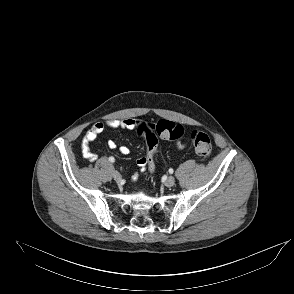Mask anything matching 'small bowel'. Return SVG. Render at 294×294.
I'll list each match as a JSON object with an SVG mask.
<instances>
[{"mask_svg": "<svg viewBox=\"0 0 294 294\" xmlns=\"http://www.w3.org/2000/svg\"><path fill=\"white\" fill-rule=\"evenodd\" d=\"M139 121L134 119H126V120H109L106 122H98L95 123L85 134L83 140H82V153L83 156L88 159L89 161L93 162L97 159L96 154H94L91 150V143L107 128H113V129H135L136 124ZM177 148L183 149L185 147V143L182 141L177 142ZM108 147L110 149H116L117 144L113 140L108 141ZM119 152L122 155H128L130 153V150L127 146H120ZM137 166L139 168L140 172H144L147 167L149 166V162L146 159V157L139 158L137 160ZM137 180V175L133 177V181Z\"/></svg>", "mask_w": 294, "mask_h": 294, "instance_id": "1", "label": "small bowel"}]
</instances>
